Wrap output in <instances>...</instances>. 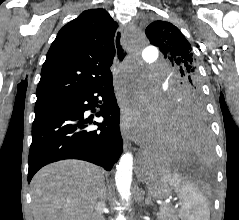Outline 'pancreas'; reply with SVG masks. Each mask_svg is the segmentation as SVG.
Listing matches in <instances>:
<instances>
[{"label":"pancreas","mask_w":239,"mask_h":220,"mask_svg":"<svg viewBox=\"0 0 239 220\" xmlns=\"http://www.w3.org/2000/svg\"><path fill=\"white\" fill-rule=\"evenodd\" d=\"M157 217L159 220H178L175 210L167 205L160 207Z\"/></svg>","instance_id":"pancreas-1"}]
</instances>
